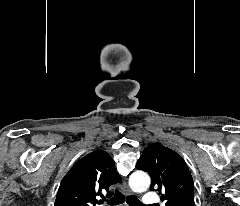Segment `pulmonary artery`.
Masks as SVG:
<instances>
[{
    "instance_id": "obj_1",
    "label": "pulmonary artery",
    "mask_w": 240,
    "mask_h": 206,
    "mask_svg": "<svg viewBox=\"0 0 240 206\" xmlns=\"http://www.w3.org/2000/svg\"><path fill=\"white\" fill-rule=\"evenodd\" d=\"M159 201V197L154 192H148L143 197V203L146 205H154Z\"/></svg>"
}]
</instances>
